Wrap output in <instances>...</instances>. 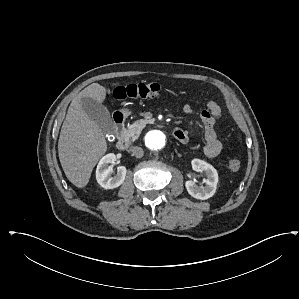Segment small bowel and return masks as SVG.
I'll use <instances>...</instances> for the list:
<instances>
[{
  "label": "small bowel",
  "instance_id": "small-bowel-1",
  "mask_svg": "<svg viewBox=\"0 0 299 299\" xmlns=\"http://www.w3.org/2000/svg\"><path fill=\"white\" fill-rule=\"evenodd\" d=\"M199 102L195 101L193 103H187L183 107V111L187 115H194L196 113L195 106ZM205 109L201 111L200 117L204 126V153L206 156L213 158L220 154L222 150V144L215 130L216 119L222 114L220 105L214 100H208L204 103ZM176 131L181 132L184 138H180L179 141L186 143L188 141V134L183 129H176Z\"/></svg>",
  "mask_w": 299,
  "mask_h": 299
}]
</instances>
